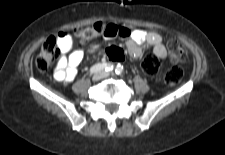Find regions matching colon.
Listing matches in <instances>:
<instances>
[{"label":"colon","instance_id":"colon-1","mask_svg":"<svg viewBox=\"0 0 225 155\" xmlns=\"http://www.w3.org/2000/svg\"><path fill=\"white\" fill-rule=\"evenodd\" d=\"M111 31L108 24L97 22L86 27H80L74 30V35L82 44L93 42L98 36L104 35ZM168 54L170 60L175 64L164 75V81L168 85L177 84L183 77V70L177 65L185 62L187 53L184 48L176 40H169L167 43ZM60 49L56 44V36H51L44 41L40 52L36 58V67L38 70L47 71L57 60ZM106 55L109 59L115 62H121L125 58L123 50L116 46H110L106 50ZM159 63L151 58L146 59L141 64L142 71L147 75H155L158 71Z\"/></svg>","mask_w":225,"mask_h":155}]
</instances>
